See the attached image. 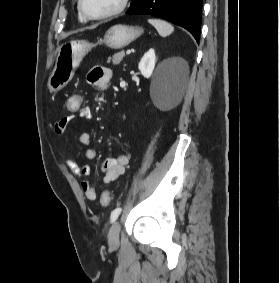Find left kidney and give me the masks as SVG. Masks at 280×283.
I'll use <instances>...</instances> for the list:
<instances>
[{
    "label": "left kidney",
    "instance_id": "5707ae66",
    "mask_svg": "<svg viewBox=\"0 0 280 283\" xmlns=\"http://www.w3.org/2000/svg\"><path fill=\"white\" fill-rule=\"evenodd\" d=\"M174 61H176L180 65L184 64V61L181 59H174ZM155 63H156L155 51L153 48H151L144 54L138 65L141 74L145 78L151 77L155 68Z\"/></svg>",
    "mask_w": 280,
    "mask_h": 283
}]
</instances>
